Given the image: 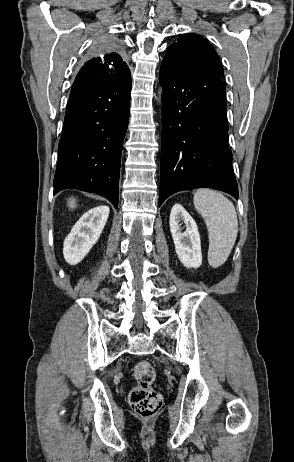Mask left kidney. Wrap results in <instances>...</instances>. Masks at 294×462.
Instances as JSON below:
<instances>
[{
	"mask_svg": "<svg viewBox=\"0 0 294 462\" xmlns=\"http://www.w3.org/2000/svg\"><path fill=\"white\" fill-rule=\"evenodd\" d=\"M186 230L182 232L180 222ZM170 231L176 254L187 268H198L202 264L201 242L197 224L180 204H175L170 213Z\"/></svg>",
	"mask_w": 294,
	"mask_h": 462,
	"instance_id": "5707ae66",
	"label": "left kidney"
}]
</instances>
